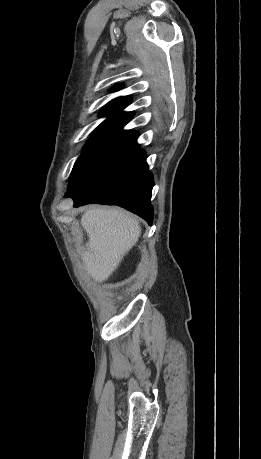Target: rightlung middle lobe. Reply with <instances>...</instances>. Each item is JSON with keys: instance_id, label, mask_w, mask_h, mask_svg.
I'll list each match as a JSON object with an SVG mask.
<instances>
[{"instance_id": "right-lung-middle-lobe-1", "label": "right lung middle lobe", "mask_w": 261, "mask_h": 459, "mask_svg": "<svg viewBox=\"0 0 261 459\" xmlns=\"http://www.w3.org/2000/svg\"><path fill=\"white\" fill-rule=\"evenodd\" d=\"M121 128H108L92 133L73 167L66 197L79 198L87 195L102 178L139 148L136 143L138 133Z\"/></svg>"}]
</instances>
